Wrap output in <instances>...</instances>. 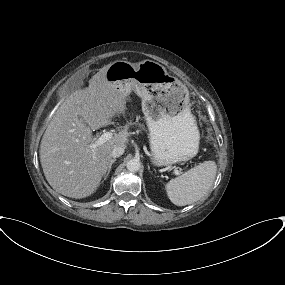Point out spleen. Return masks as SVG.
<instances>
[{
    "label": "spleen",
    "mask_w": 285,
    "mask_h": 285,
    "mask_svg": "<svg viewBox=\"0 0 285 285\" xmlns=\"http://www.w3.org/2000/svg\"><path fill=\"white\" fill-rule=\"evenodd\" d=\"M216 172L214 161H205L193 167L165 185L168 198L177 206L200 200L212 187Z\"/></svg>",
    "instance_id": "3e777b00"
}]
</instances>
